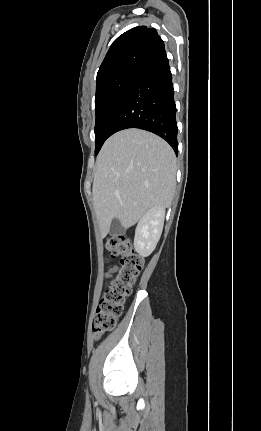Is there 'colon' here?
I'll use <instances>...</instances> for the list:
<instances>
[{"mask_svg": "<svg viewBox=\"0 0 261 431\" xmlns=\"http://www.w3.org/2000/svg\"><path fill=\"white\" fill-rule=\"evenodd\" d=\"M105 248L111 258H118L115 276L101 300L92 323V331L99 338L116 325L121 316L126 297L131 294L140 274L144 259L136 253L132 241L125 236L110 237Z\"/></svg>", "mask_w": 261, "mask_h": 431, "instance_id": "1", "label": "colon"}]
</instances>
